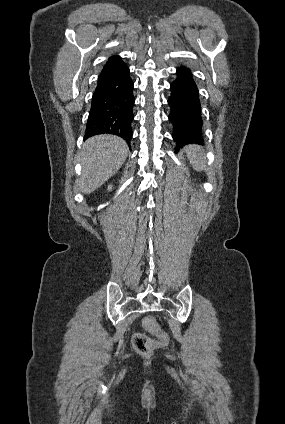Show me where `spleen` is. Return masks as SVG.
<instances>
[{
	"instance_id": "obj_1",
	"label": "spleen",
	"mask_w": 285,
	"mask_h": 424,
	"mask_svg": "<svg viewBox=\"0 0 285 424\" xmlns=\"http://www.w3.org/2000/svg\"><path fill=\"white\" fill-rule=\"evenodd\" d=\"M186 153L190 161L194 164V167L197 171H202L204 168V160L200 157L199 150L196 146L189 145L186 147Z\"/></svg>"
}]
</instances>
